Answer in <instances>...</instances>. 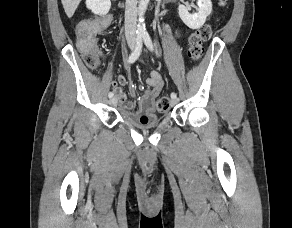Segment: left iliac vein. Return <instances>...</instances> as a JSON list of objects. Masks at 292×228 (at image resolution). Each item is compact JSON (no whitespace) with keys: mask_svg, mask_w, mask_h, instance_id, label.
<instances>
[{"mask_svg":"<svg viewBox=\"0 0 292 228\" xmlns=\"http://www.w3.org/2000/svg\"><path fill=\"white\" fill-rule=\"evenodd\" d=\"M170 103H171V106H175L178 103V99L172 98Z\"/></svg>","mask_w":292,"mask_h":228,"instance_id":"1","label":"left iliac vein"}]
</instances>
